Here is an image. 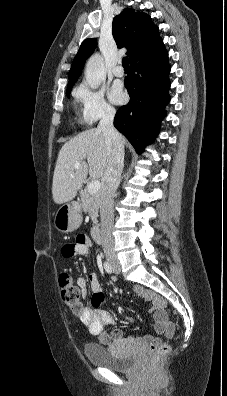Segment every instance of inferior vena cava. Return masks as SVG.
<instances>
[{
	"instance_id": "obj_1",
	"label": "inferior vena cava",
	"mask_w": 227,
	"mask_h": 396,
	"mask_svg": "<svg viewBox=\"0 0 227 396\" xmlns=\"http://www.w3.org/2000/svg\"><path fill=\"white\" fill-rule=\"evenodd\" d=\"M115 113V109H107L98 125V130L104 134L109 152L108 164L102 176L100 195L102 246L105 255L108 257L115 255L112 235L114 224L113 204L124 166V149L121 144L120 135L113 125Z\"/></svg>"
}]
</instances>
